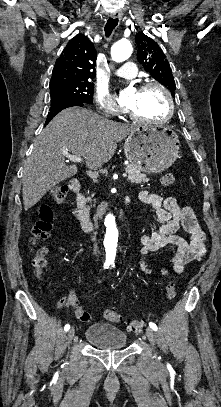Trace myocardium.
Here are the masks:
<instances>
[{"instance_id":"myocardium-1","label":"myocardium","mask_w":221,"mask_h":407,"mask_svg":"<svg viewBox=\"0 0 221 407\" xmlns=\"http://www.w3.org/2000/svg\"><path fill=\"white\" fill-rule=\"evenodd\" d=\"M150 88H158L160 89L166 96L167 98V104H168V110H167V114L164 118L159 119V120H148V119H144L142 117H140L133 109L126 107L125 106V112L136 122L141 123V124H149V125H160V124H165L168 121H170V119L172 118L173 114H174V110H175V105H174V99L172 96V93L170 92V90L164 86L161 83L158 82H147L142 84L138 90L140 92H144L147 91Z\"/></svg>"}]
</instances>
